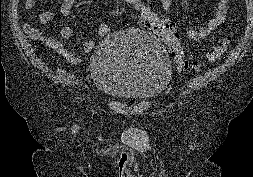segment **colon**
I'll list each match as a JSON object with an SVG mask.
<instances>
[{
  "mask_svg": "<svg viewBox=\"0 0 253 177\" xmlns=\"http://www.w3.org/2000/svg\"><path fill=\"white\" fill-rule=\"evenodd\" d=\"M115 12L122 13L126 9L135 10L142 18L145 27L157 36L168 48L179 71H198L202 64L187 59L175 24L167 18L159 16L152 10L151 5L143 0H115ZM231 42L229 36L216 39L214 46L207 54V62L216 61L228 48Z\"/></svg>",
  "mask_w": 253,
  "mask_h": 177,
  "instance_id": "5ec220e1",
  "label": "colon"
}]
</instances>
